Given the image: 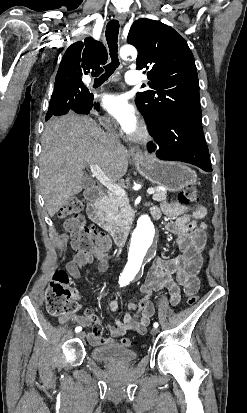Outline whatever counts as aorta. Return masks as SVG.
Returning <instances> with one entry per match:
<instances>
[{
  "label": "aorta",
  "instance_id": "obj_1",
  "mask_svg": "<svg viewBox=\"0 0 247 413\" xmlns=\"http://www.w3.org/2000/svg\"><path fill=\"white\" fill-rule=\"evenodd\" d=\"M120 56L122 59L137 57V50L131 45H125L120 49ZM154 235V226L148 215H142L137 222V228L133 234V247L130 251L129 261L127 264V272L135 275L142 264L143 258L146 254Z\"/></svg>",
  "mask_w": 247,
  "mask_h": 413
}]
</instances>
